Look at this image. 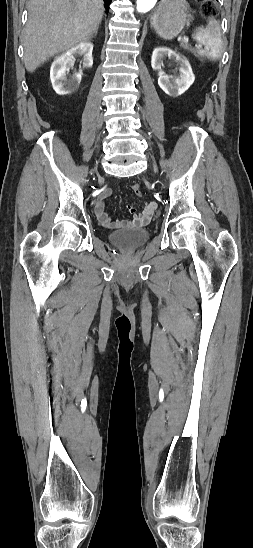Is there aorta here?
<instances>
[{
  "label": "aorta",
  "instance_id": "1",
  "mask_svg": "<svg viewBox=\"0 0 253 548\" xmlns=\"http://www.w3.org/2000/svg\"><path fill=\"white\" fill-rule=\"evenodd\" d=\"M157 1L158 0H137V11L146 13L156 5Z\"/></svg>",
  "mask_w": 253,
  "mask_h": 548
}]
</instances>
